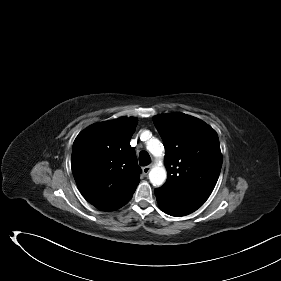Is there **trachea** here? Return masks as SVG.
<instances>
[{"label": "trachea", "mask_w": 281, "mask_h": 281, "mask_svg": "<svg viewBox=\"0 0 281 281\" xmlns=\"http://www.w3.org/2000/svg\"><path fill=\"white\" fill-rule=\"evenodd\" d=\"M150 163H151V158H150L148 152H146V151L140 152V154H139V164L141 166H147Z\"/></svg>", "instance_id": "1"}]
</instances>
